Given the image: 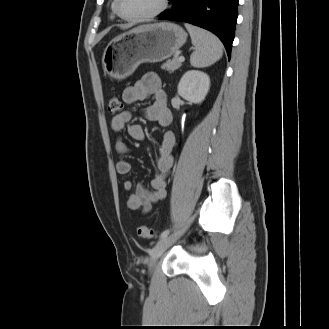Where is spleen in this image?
<instances>
[{
	"label": "spleen",
	"instance_id": "obj_1",
	"mask_svg": "<svg viewBox=\"0 0 329 329\" xmlns=\"http://www.w3.org/2000/svg\"><path fill=\"white\" fill-rule=\"evenodd\" d=\"M185 27L195 46V51L190 56V63L193 67H208L222 57L223 45L215 35L187 23H185Z\"/></svg>",
	"mask_w": 329,
	"mask_h": 329
}]
</instances>
